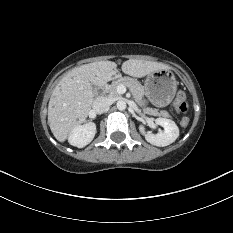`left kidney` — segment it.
Wrapping results in <instances>:
<instances>
[{"instance_id": "1", "label": "left kidney", "mask_w": 233, "mask_h": 233, "mask_svg": "<svg viewBox=\"0 0 233 233\" xmlns=\"http://www.w3.org/2000/svg\"><path fill=\"white\" fill-rule=\"evenodd\" d=\"M155 123L162 126L164 130L157 134H152L151 132H145V127L143 125L139 126L140 132L150 144L164 147L170 145L178 138L179 129L174 121L166 118H157Z\"/></svg>"}]
</instances>
